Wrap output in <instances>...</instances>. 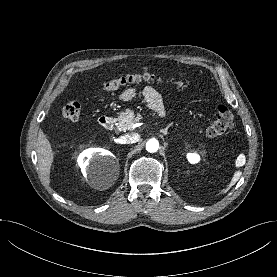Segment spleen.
I'll return each instance as SVG.
<instances>
[{
	"mask_svg": "<svg viewBox=\"0 0 277 277\" xmlns=\"http://www.w3.org/2000/svg\"><path fill=\"white\" fill-rule=\"evenodd\" d=\"M241 172L237 171L234 173L231 182L229 183L228 187L223 190V193L227 192L240 178Z\"/></svg>",
	"mask_w": 277,
	"mask_h": 277,
	"instance_id": "1",
	"label": "spleen"
}]
</instances>
